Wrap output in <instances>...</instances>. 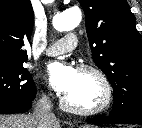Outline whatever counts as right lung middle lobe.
I'll use <instances>...</instances> for the list:
<instances>
[{"label":"right lung middle lobe","instance_id":"right-lung-middle-lobe-1","mask_svg":"<svg viewBox=\"0 0 142 128\" xmlns=\"http://www.w3.org/2000/svg\"><path fill=\"white\" fill-rule=\"evenodd\" d=\"M35 95L34 81L23 65L0 66V101H30Z\"/></svg>","mask_w":142,"mask_h":128}]
</instances>
